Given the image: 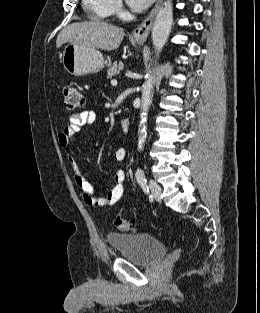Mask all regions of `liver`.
Masks as SVG:
<instances>
[{"mask_svg": "<svg viewBox=\"0 0 260 313\" xmlns=\"http://www.w3.org/2000/svg\"><path fill=\"white\" fill-rule=\"evenodd\" d=\"M124 38V29L103 21L69 24L58 35L56 47L70 42L105 51L117 49Z\"/></svg>", "mask_w": 260, "mask_h": 313, "instance_id": "liver-1", "label": "liver"}]
</instances>
